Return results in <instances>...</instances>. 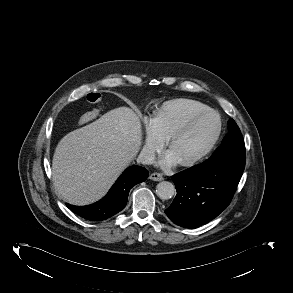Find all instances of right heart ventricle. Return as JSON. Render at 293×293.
Instances as JSON below:
<instances>
[{
  "label": "right heart ventricle",
  "instance_id": "right-heart-ventricle-1",
  "mask_svg": "<svg viewBox=\"0 0 293 293\" xmlns=\"http://www.w3.org/2000/svg\"><path fill=\"white\" fill-rule=\"evenodd\" d=\"M209 109L202 102L187 98L166 101L152 117L158 133L167 139L183 122L195 113Z\"/></svg>",
  "mask_w": 293,
  "mask_h": 293
}]
</instances>
